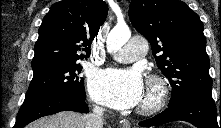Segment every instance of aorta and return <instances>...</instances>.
<instances>
[{"mask_svg": "<svg viewBox=\"0 0 221 128\" xmlns=\"http://www.w3.org/2000/svg\"><path fill=\"white\" fill-rule=\"evenodd\" d=\"M131 31L127 25H116L108 34L106 47L108 52L116 53L130 39Z\"/></svg>", "mask_w": 221, "mask_h": 128, "instance_id": "762f6f07", "label": "aorta"}]
</instances>
